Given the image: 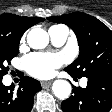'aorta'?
<instances>
[{
  "label": "aorta",
  "mask_w": 112,
  "mask_h": 112,
  "mask_svg": "<svg viewBox=\"0 0 112 112\" xmlns=\"http://www.w3.org/2000/svg\"><path fill=\"white\" fill-rule=\"evenodd\" d=\"M27 43L33 49H43L49 43V35L41 28H33L27 35ZM52 91L57 98L65 100L69 98L72 87L68 81L59 79L54 81Z\"/></svg>",
  "instance_id": "obj_1"
}]
</instances>
